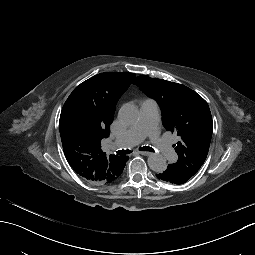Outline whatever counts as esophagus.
<instances>
[{
    "label": "esophagus",
    "instance_id": "1",
    "mask_svg": "<svg viewBox=\"0 0 255 255\" xmlns=\"http://www.w3.org/2000/svg\"><path fill=\"white\" fill-rule=\"evenodd\" d=\"M141 155H145V156H147V155H150L151 153L150 152H145V151H140L139 152Z\"/></svg>",
    "mask_w": 255,
    "mask_h": 255
}]
</instances>
